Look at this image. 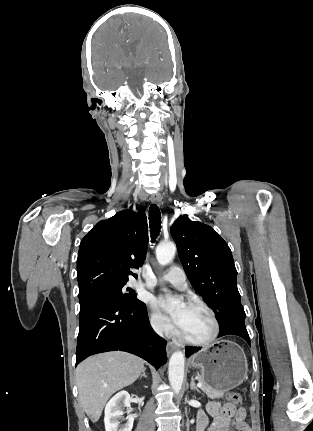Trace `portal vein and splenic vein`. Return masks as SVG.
Segmentation results:
<instances>
[{
  "label": "portal vein and splenic vein",
  "mask_w": 313,
  "mask_h": 431,
  "mask_svg": "<svg viewBox=\"0 0 313 431\" xmlns=\"http://www.w3.org/2000/svg\"><path fill=\"white\" fill-rule=\"evenodd\" d=\"M197 386H198L199 388H201L203 385H202V383H201V382H199Z\"/></svg>",
  "instance_id": "18ae733b"
}]
</instances>
